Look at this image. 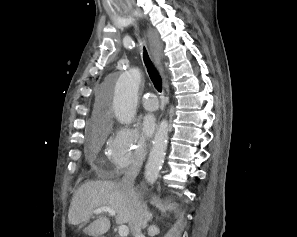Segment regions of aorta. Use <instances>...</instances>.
Listing matches in <instances>:
<instances>
[{"label": "aorta", "mask_w": 297, "mask_h": 237, "mask_svg": "<svg viewBox=\"0 0 297 237\" xmlns=\"http://www.w3.org/2000/svg\"><path fill=\"white\" fill-rule=\"evenodd\" d=\"M141 77L140 69L132 68L121 74L116 82L113 110L117 120L122 124H130L136 115ZM167 137L168 125L167 121L164 120L161 122L154 137L153 147L146 165L145 178L150 184L156 181L163 165L167 148Z\"/></svg>", "instance_id": "1"}]
</instances>
